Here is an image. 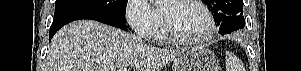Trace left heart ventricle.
Instances as JSON below:
<instances>
[{
    "label": "left heart ventricle",
    "instance_id": "left-heart-ventricle-1",
    "mask_svg": "<svg viewBox=\"0 0 301 71\" xmlns=\"http://www.w3.org/2000/svg\"><path fill=\"white\" fill-rule=\"evenodd\" d=\"M162 11L175 31L183 37L200 38L207 32V17L199 7L192 3L164 2Z\"/></svg>",
    "mask_w": 301,
    "mask_h": 71
}]
</instances>
